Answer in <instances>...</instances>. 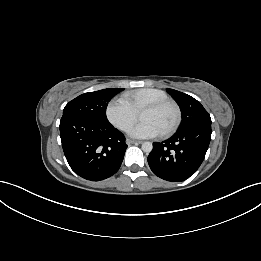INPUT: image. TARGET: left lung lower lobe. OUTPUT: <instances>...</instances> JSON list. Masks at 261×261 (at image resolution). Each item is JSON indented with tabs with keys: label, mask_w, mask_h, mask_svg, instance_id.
<instances>
[{
	"label": "left lung lower lobe",
	"mask_w": 261,
	"mask_h": 261,
	"mask_svg": "<svg viewBox=\"0 0 261 261\" xmlns=\"http://www.w3.org/2000/svg\"><path fill=\"white\" fill-rule=\"evenodd\" d=\"M211 140V125L178 130L171 138L153 143L148 156L152 172L167 181L188 179L204 160Z\"/></svg>",
	"instance_id": "obj_1"
}]
</instances>
